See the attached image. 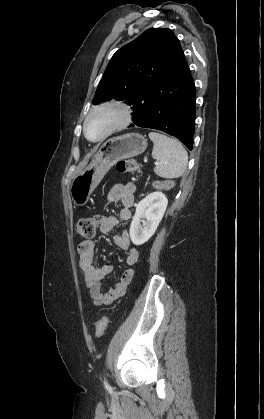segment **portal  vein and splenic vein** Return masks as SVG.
Returning a JSON list of instances; mask_svg holds the SVG:
<instances>
[{"mask_svg":"<svg viewBox=\"0 0 264 419\" xmlns=\"http://www.w3.org/2000/svg\"><path fill=\"white\" fill-rule=\"evenodd\" d=\"M144 161L147 162V159L145 158ZM157 164H158V162H155V165H157Z\"/></svg>","mask_w":264,"mask_h":419,"instance_id":"portal-vein-and-splenic-vein-1","label":"portal vein and splenic vein"}]
</instances>
